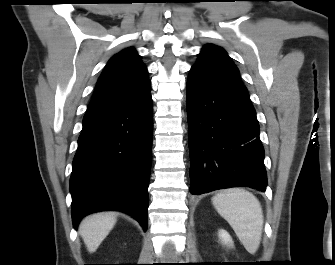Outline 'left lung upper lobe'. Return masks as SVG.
Returning <instances> with one entry per match:
<instances>
[{
  "label": "left lung upper lobe",
  "instance_id": "1",
  "mask_svg": "<svg viewBox=\"0 0 335 265\" xmlns=\"http://www.w3.org/2000/svg\"><path fill=\"white\" fill-rule=\"evenodd\" d=\"M192 67L204 71L216 79L232 82L246 88L241 82L238 68L226 51L214 44H207L202 48L197 62Z\"/></svg>",
  "mask_w": 335,
  "mask_h": 265
}]
</instances>
